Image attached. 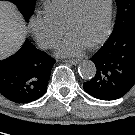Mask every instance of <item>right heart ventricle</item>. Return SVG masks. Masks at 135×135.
<instances>
[{
	"instance_id": "obj_1",
	"label": "right heart ventricle",
	"mask_w": 135,
	"mask_h": 135,
	"mask_svg": "<svg viewBox=\"0 0 135 135\" xmlns=\"http://www.w3.org/2000/svg\"><path fill=\"white\" fill-rule=\"evenodd\" d=\"M77 0H47L44 13L60 28L71 13Z\"/></svg>"
}]
</instances>
